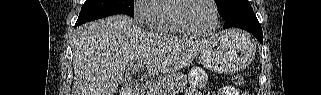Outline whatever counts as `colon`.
<instances>
[{
	"mask_svg": "<svg viewBox=\"0 0 321 95\" xmlns=\"http://www.w3.org/2000/svg\"><path fill=\"white\" fill-rule=\"evenodd\" d=\"M244 82H245V79H244L243 75L236 74L233 76V83L235 85L241 86L244 84Z\"/></svg>",
	"mask_w": 321,
	"mask_h": 95,
	"instance_id": "1",
	"label": "colon"
}]
</instances>
